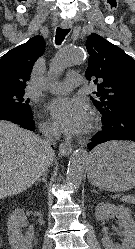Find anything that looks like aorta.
<instances>
[{"instance_id": "obj_1", "label": "aorta", "mask_w": 135, "mask_h": 249, "mask_svg": "<svg viewBox=\"0 0 135 249\" xmlns=\"http://www.w3.org/2000/svg\"><path fill=\"white\" fill-rule=\"evenodd\" d=\"M84 59L85 51L82 48L65 46L52 60L49 73L51 76H58L66 68L79 64ZM87 161L88 154L85 148L75 150L70 156L67 168V180L71 186L78 187L81 184Z\"/></svg>"}]
</instances>
